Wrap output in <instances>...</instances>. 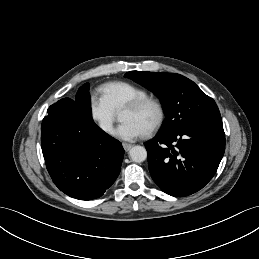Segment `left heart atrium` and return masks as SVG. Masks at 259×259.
I'll return each mask as SVG.
<instances>
[{
    "label": "left heart atrium",
    "mask_w": 259,
    "mask_h": 259,
    "mask_svg": "<svg viewBox=\"0 0 259 259\" xmlns=\"http://www.w3.org/2000/svg\"><path fill=\"white\" fill-rule=\"evenodd\" d=\"M141 134V130L130 121H123L114 131V135L123 140H134Z\"/></svg>",
    "instance_id": "1"
}]
</instances>
